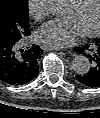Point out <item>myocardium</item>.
<instances>
[{"mask_svg":"<svg viewBox=\"0 0 100 118\" xmlns=\"http://www.w3.org/2000/svg\"><path fill=\"white\" fill-rule=\"evenodd\" d=\"M84 1L85 0H71V4L73 6L78 7ZM99 31H100V0H99V17H98V22H97L96 26L93 29H91V30H89L87 32H84L83 34H84L85 37H89L90 38V37H94L95 35H97L99 33Z\"/></svg>","mask_w":100,"mask_h":118,"instance_id":"f54148a6","label":"myocardium"}]
</instances>
